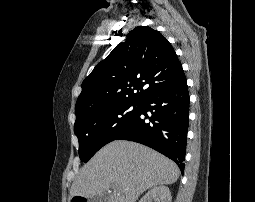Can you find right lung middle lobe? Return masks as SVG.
<instances>
[{"label": "right lung middle lobe", "mask_w": 255, "mask_h": 202, "mask_svg": "<svg viewBox=\"0 0 255 202\" xmlns=\"http://www.w3.org/2000/svg\"><path fill=\"white\" fill-rule=\"evenodd\" d=\"M141 103H118L97 109L76 120L79 156L87 162L100 148L115 140L134 120Z\"/></svg>", "instance_id": "obj_1"}]
</instances>
